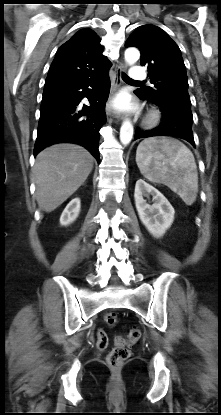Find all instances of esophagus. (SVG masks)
<instances>
[{"mask_svg":"<svg viewBox=\"0 0 221 415\" xmlns=\"http://www.w3.org/2000/svg\"><path fill=\"white\" fill-rule=\"evenodd\" d=\"M127 69L126 65L123 62H120L116 68H115V79H114V85L111 93V100L115 96L116 92L122 85V74ZM108 115L110 117V120L120 121L123 119V115L114 109H110L108 112Z\"/></svg>","mask_w":221,"mask_h":415,"instance_id":"esophagus-1","label":"esophagus"}]
</instances>
